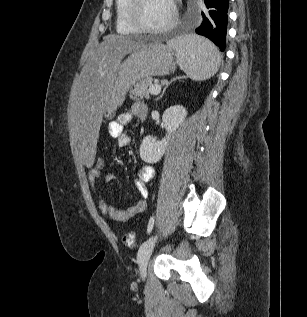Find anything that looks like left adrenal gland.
Wrapping results in <instances>:
<instances>
[{
  "instance_id": "1",
  "label": "left adrenal gland",
  "mask_w": 307,
  "mask_h": 317,
  "mask_svg": "<svg viewBox=\"0 0 307 317\" xmlns=\"http://www.w3.org/2000/svg\"><path fill=\"white\" fill-rule=\"evenodd\" d=\"M181 78H182V77H177V78L172 79L170 82H168V83L165 85V87H164V89H163V91H162V94L156 99V101L159 100V99H161V98L163 97V95L165 94L166 89L169 87V85H170L172 82L176 81L177 79H181Z\"/></svg>"
}]
</instances>
